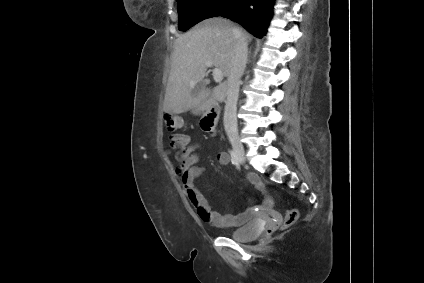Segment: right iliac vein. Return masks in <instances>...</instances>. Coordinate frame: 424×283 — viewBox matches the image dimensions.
<instances>
[{
    "instance_id": "63e3f726",
    "label": "right iliac vein",
    "mask_w": 424,
    "mask_h": 283,
    "mask_svg": "<svg viewBox=\"0 0 424 283\" xmlns=\"http://www.w3.org/2000/svg\"><path fill=\"white\" fill-rule=\"evenodd\" d=\"M230 142L232 144L233 150L238 158V161L240 163H243L245 161V150L240 142L239 138L235 135L230 137Z\"/></svg>"
}]
</instances>
